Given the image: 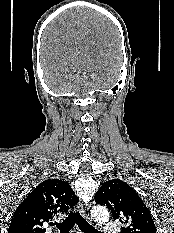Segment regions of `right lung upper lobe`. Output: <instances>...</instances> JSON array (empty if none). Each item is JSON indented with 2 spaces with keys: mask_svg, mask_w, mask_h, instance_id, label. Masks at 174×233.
<instances>
[{
  "mask_svg": "<svg viewBox=\"0 0 174 233\" xmlns=\"http://www.w3.org/2000/svg\"><path fill=\"white\" fill-rule=\"evenodd\" d=\"M78 201L79 198L66 181L45 180L15 210L8 233H45L43 224L66 213Z\"/></svg>",
  "mask_w": 174,
  "mask_h": 233,
  "instance_id": "right-lung-upper-lobe-1",
  "label": "right lung upper lobe"
}]
</instances>
